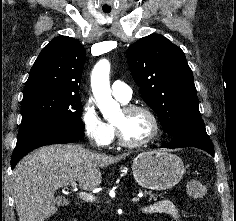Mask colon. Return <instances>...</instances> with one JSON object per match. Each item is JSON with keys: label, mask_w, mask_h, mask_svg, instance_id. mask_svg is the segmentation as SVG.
I'll return each instance as SVG.
<instances>
[{"label": "colon", "mask_w": 236, "mask_h": 221, "mask_svg": "<svg viewBox=\"0 0 236 221\" xmlns=\"http://www.w3.org/2000/svg\"><path fill=\"white\" fill-rule=\"evenodd\" d=\"M188 195L197 200H204L207 197V189L200 181H190L187 184Z\"/></svg>", "instance_id": "obj_1"}]
</instances>
